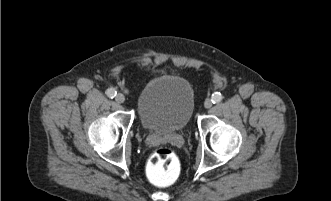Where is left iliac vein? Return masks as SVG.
Returning a JSON list of instances; mask_svg holds the SVG:
<instances>
[{"label": "left iliac vein", "instance_id": "obj_1", "mask_svg": "<svg viewBox=\"0 0 331 201\" xmlns=\"http://www.w3.org/2000/svg\"><path fill=\"white\" fill-rule=\"evenodd\" d=\"M212 100L211 99H206L205 102H204V107L209 109L212 107Z\"/></svg>", "mask_w": 331, "mask_h": 201}]
</instances>
